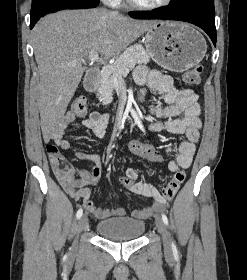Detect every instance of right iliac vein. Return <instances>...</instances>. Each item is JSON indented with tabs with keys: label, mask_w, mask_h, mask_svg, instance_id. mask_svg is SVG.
<instances>
[{
	"label": "right iliac vein",
	"mask_w": 247,
	"mask_h": 280,
	"mask_svg": "<svg viewBox=\"0 0 247 280\" xmlns=\"http://www.w3.org/2000/svg\"><path fill=\"white\" fill-rule=\"evenodd\" d=\"M87 225H88L87 215L81 216L77 226V233L79 234L80 232H82L87 227ZM76 248H77V241H75L74 243V249Z\"/></svg>",
	"instance_id": "1"
}]
</instances>
